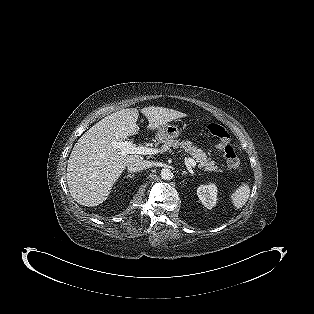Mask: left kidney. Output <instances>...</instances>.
<instances>
[{"label":"left kidney","instance_id":"5707ae66","mask_svg":"<svg viewBox=\"0 0 314 314\" xmlns=\"http://www.w3.org/2000/svg\"><path fill=\"white\" fill-rule=\"evenodd\" d=\"M197 195L207 209H212L216 205L217 187L213 183L200 185L197 188Z\"/></svg>","mask_w":314,"mask_h":314}]
</instances>
